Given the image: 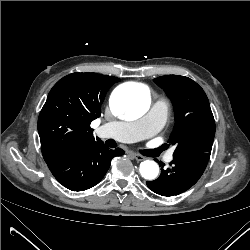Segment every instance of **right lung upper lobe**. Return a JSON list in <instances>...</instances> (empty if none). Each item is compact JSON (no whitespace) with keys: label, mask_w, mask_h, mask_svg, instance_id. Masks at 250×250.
Segmentation results:
<instances>
[{"label":"right lung upper lobe","mask_w":250,"mask_h":250,"mask_svg":"<svg viewBox=\"0 0 250 250\" xmlns=\"http://www.w3.org/2000/svg\"><path fill=\"white\" fill-rule=\"evenodd\" d=\"M118 81L96 73H72L53 86L38 118L44 159L96 142L90 123L100 116L108 89Z\"/></svg>","instance_id":"obj_1"}]
</instances>
